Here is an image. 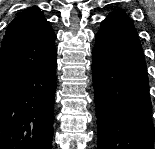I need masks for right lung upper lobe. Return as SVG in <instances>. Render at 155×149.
<instances>
[{
    "mask_svg": "<svg viewBox=\"0 0 155 149\" xmlns=\"http://www.w3.org/2000/svg\"><path fill=\"white\" fill-rule=\"evenodd\" d=\"M55 33L38 7L20 13L7 27L0 51V78L39 66L56 55Z\"/></svg>",
    "mask_w": 155,
    "mask_h": 149,
    "instance_id": "right-lung-upper-lobe-1",
    "label": "right lung upper lobe"
}]
</instances>
